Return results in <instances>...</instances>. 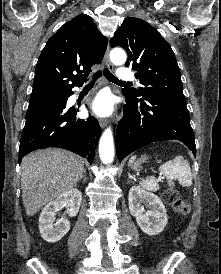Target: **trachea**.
Instances as JSON below:
<instances>
[{
	"label": "trachea",
	"instance_id": "3493384b",
	"mask_svg": "<svg viewBox=\"0 0 221 274\" xmlns=\"http://www.w3.org/2000/svg\"><path fill=\"white\" fill-rule=\"evenodd\" d=\"M103 75L107 78L108 81L118 84H129V82H123L119 79H117L107 68H104ZM102 76V71H97L96 74L93 76L91 82L88 84V86H91L94 84L95 80Z\"/></svg>",
	"mask_w": 221,
	"mask_h": 274
}]
</instances>
